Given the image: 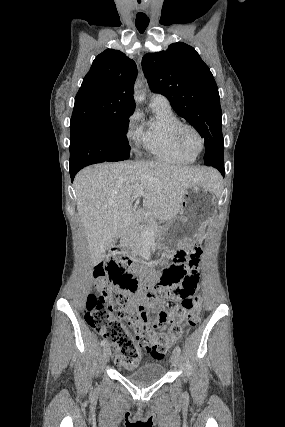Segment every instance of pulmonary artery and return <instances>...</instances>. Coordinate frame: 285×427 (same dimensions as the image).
Returning <instances> with one entry per match:
<instances>
[{
	"label": "pulmonary artery",
	"mask_w": 285,
	"mask_h": 427,
	"mask_svg": "<svg viewBox=\"0 0 285 427\" xmlns=\"http://www.w3.org/2000/svg\"><path fill=\"white\" fill-rule=\"evenodd\" d=\"M151 102L155 104H169L168 99L160 93L152 94Z\"/></svg>",
	"instance_id": "obj_1"
}]
</instances>
